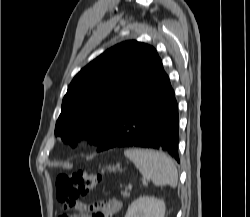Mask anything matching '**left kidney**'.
I'll return each mask as SVG.
<instances>
[{"label": "left kidney", "instance_id": "1", "mask_svg": "<svg viewBox=\"0 0 250 217\" xmlns=\"http://www.w3.org/2000/svg\"><path fill=\"white\" fill-rule=\"evenodd\" d=\"M165 203L155 197L143 196L128 207L125 217H164Z\"/></svg>", "mask_w": 250, "mask_h": 217}]
</instances>
